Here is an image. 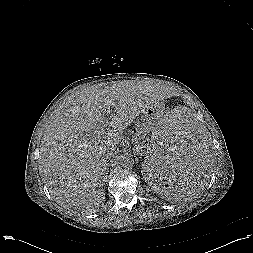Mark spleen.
Wrapping results in <instances>:
<instances>
[{
    "instance_id": "3e777b00",
    "label": "spleen",
    "mask_w": 253,
    "mask_h": 253,
    "mask_svg": "<svg viewBox=\"0 0 253 253\" xmlns=\"http://www.w3.org/2000/svg\"><path fill=\"white\" fill-rule=\"evenodd\" d=\"M150 141L142 164L147 183L168 200L199 196L215 162L204 124L190 111L176 109L154 125Z\"/></svg>"
}]
</instances>
